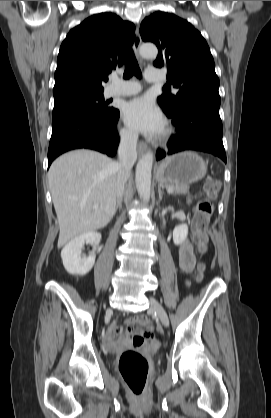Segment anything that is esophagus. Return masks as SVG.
Here are the masks:
<instances>
[{
  "label": "esophagus",
  "instance_id": "1",
  "mask_svg": "<svg viewBox=\"0 0 271 418\" xmlns=\"http://www.w3.org/2000/svg\"><path fill=\"white\" fill-rule=\"evenodd\" d=\"M140 45H141V36H140V33H139V27L137 26L136 31H135L134 52H135V55H136L139 62L142 61V59L140 57V54H139ZM146 150H147L146 143L145 142H140L138 144V153L143 154Z\"/></svg>",
  "mask_w": 271,
  "mask_h": 418
}]
</instances>
